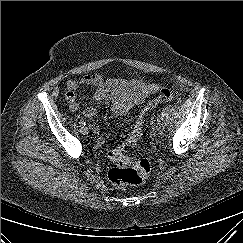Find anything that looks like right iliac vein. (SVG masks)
I'll return each instance as SVG.
<instances>
[{
	"instance_id": "obj_1",
	"label": "right iliac vein",
	"mask_w": 243,
	"mask_h": 243,
	"mask_svg": "<svg viewBox=\"0 0 243 243\" xmlns=\"http://www.w3.org/2000/svg\"><path fill=\"white\" fill-rule=\"evenodd\" d=\"M80 132H81L83 135H87V134L89 133V130H88L87 127L83 126V127H81Z\"/></svg>"
}]
</instances>
